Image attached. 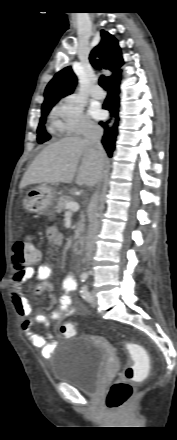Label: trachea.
<instances>
[{
    "label": "trachea",
    "instance_id": "obj_1",
    "mask_svg": "<svg viewBox=\"0 0 177 440\" xmlns=\"http://www.w3.org/2000/svg\"><path fill=\"white\" fill-rule=\"evenodd\" d=\"M99 85H100L103 89H105V90L108 89V85H107V82H106V79H105L104 76H101V77H100V79H99Z\"/></svg>",
    "mask_w": 177,
    "mask_h": 440
}]
</instances>
